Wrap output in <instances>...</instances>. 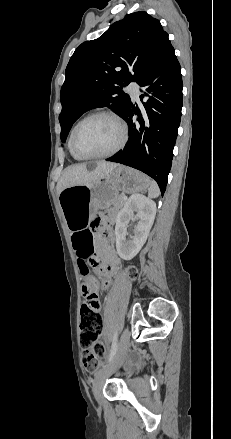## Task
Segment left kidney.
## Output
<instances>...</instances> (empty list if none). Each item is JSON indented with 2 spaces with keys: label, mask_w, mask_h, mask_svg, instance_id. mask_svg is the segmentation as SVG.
Here are the masks:
<instances>
[{
  "label": "left kidney",
  "mask_w": 231,
  "mask_h": 439,
  "mask_svg": "<svg viewBox=\"0 0 231 439\" xmlns=\"http://www.w3.org/2000/svg\"><path fill=\"white\" fill-rule=\"evenodd\" d=\"M155 215V202L141 194H134L125 202L116 216L115 226L116 248L122 259L130 260L138 254L147 240ZM132 217L139 221L134 227V236L126 241L127 227Z\"/></svg>",
  "instance_id": "5707ae66"
}]
</instances>
